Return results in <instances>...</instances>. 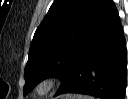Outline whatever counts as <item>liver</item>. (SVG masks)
I'll use <instances>...</instances> for the list:
<instances>
[{"label": "liver", "mask_w": 128, "mask_h": 99, "mask_svg": "<svg viewBox=\"0 0 128 99\" xmlns=\"http://www.w3.org/2000/svg\"><path fill=\"white\" fill-rule=\"evenodd\" d=\"M78 97L80 96H77V95H66L65 96L66 99H79Z\"/></svg>", "instance_id": "liver-1"}]
</instances>
